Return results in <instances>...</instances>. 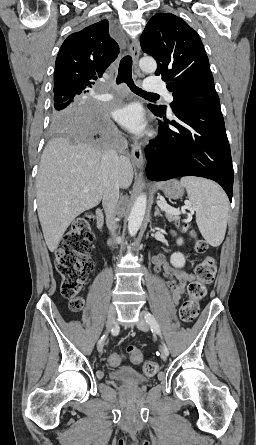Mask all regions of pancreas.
<instances>
[{
  "instance_id": "pancreas-1",
  "label": "pancreas",
  "mask_w": 256,
  "mask_h": 445,
  "mask_svg": "<svg viewBox=\"0 0 256 445\" xmlns=\"http://www.w3.org/2000/svg\"><path fill=\"white\" fill-rule=\"evenodd\" d=\"M165 215H166V218H167L169 221H173V220H176V219H177V215H173V214H170V213H168V212H166Z\"/></svg>"
}]
</instances>
